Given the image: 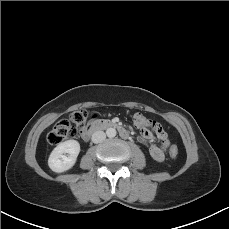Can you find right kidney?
Instances as JSON below:
<instances>
[{
	"label": "right kidney",
	"instance_id": "right-kidney-1",
	"mask_svg": "<svg viewBox=\"0 0 229 229\" xmlns=\"http://www.w3.org/2000/svg\"><path fill=\"white\" fill-rule=\"evenodd\" d=\"M80 152V144L76 140H67L58 144L51 152L48 165L56 173H62L72 168ZM67 153V155H65Z\"/></svg>",
	"mask_w": 229,
	"mask_h": 229
}]
</instances>
